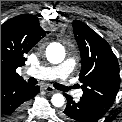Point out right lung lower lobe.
<instances>
[{
    "mask_svg": "<svg viewBox=\"0 0 122 122\" xmlns=\"http://www.w3.org/2000/svg\"><path fill=\"white\" fill-rule=\"evenodd\" d=\"M40 90L27 82L1 83V122H16L25 113L26 103Z\"/></svg>",
    "mask_w": 122,
    "mask_h": 122,
    "instance_id": "obj_1",
    "label": "right lung lower lobe"
}]
</instances>
